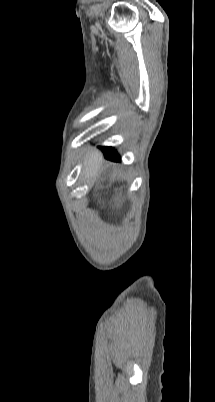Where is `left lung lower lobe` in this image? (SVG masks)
<instances>
[{"label":"left lung lower lobe","mask_w":215,"mask_h":402,"mask_svg":"<svg viewBox=\"0 0 215 402\" xmlns=\"http://www.w3.org/2000/svg\"><path fill=\"white\" fill-rule=\"evenodd\" d=\"M102 150L105 158L113 161H121L120 156L112 147H103Z\"/></svg>","instance_id":"obj_1"}]
</instances>
